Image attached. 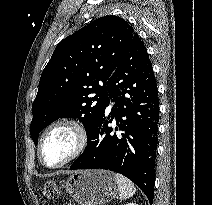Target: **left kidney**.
Segmentation results:
<instances>
[{
    "mask_svg": "<svg viewBox=\"0 0 212 205\" xmlns=\"http://www.w3.org/2000/svg\"><path fill=\"white\" fill-rule=\"evenodd\" d=\"M125 205H137V204H135V203H128V204H125Z\"/></svg>",
    "mask_w": 212,
    "mask_h": 205,
    "instance_id": "1",
    "label": "left kidney"
}]
</instances>
